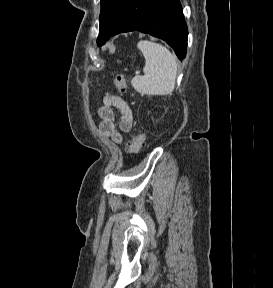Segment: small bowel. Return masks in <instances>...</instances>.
Listing matches in <instances>:
<instances>
[{
	"instance_id": "obj_1",
	"label": "small bowel",
	"mask_w": 273,
	"mask_h": 288,
	"mask_svg": "<svg viewBox=\"0 0 273 288\" xmlns=\"http://www.w3.org/2000/svg\"><path fill=\"white\" fill-rule=\"evenodd\" d=\"M114 109L119 112L118 127L115 125ZM98 116L101 119L99 124L101 134L117 144L122 142L124 135L133 125V113L128 101L109 92L103 96L102 105L98 108Z\"/></svg>"
}]
</instances>
